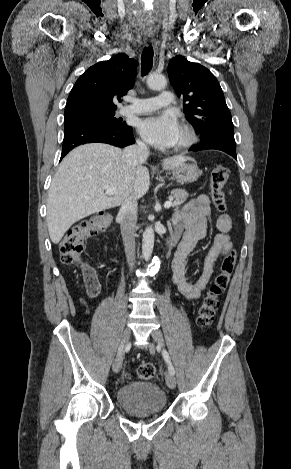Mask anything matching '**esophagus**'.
I'll list each match as a JSON object with an SVG mask.
<instances>
[{
  "label": "esophagus",
  "instance_id": "obj_1",
  "mask_svg": "<svg viewBox=\"0 0 291 469\" xmlns=\"http://www.w3.org/2000/svg\"><path fill=\"white\" fill-rule=\"evenodd\" d=\"M146 43H147L148 45H149V44H152V43H153V39H151V38L146 39Z\"/></svg>",
  "mask_w": 291,
  "mask_h": 469
}]
</instances>
